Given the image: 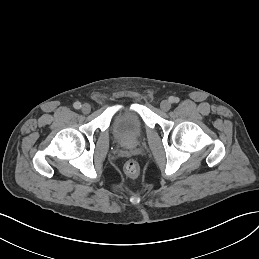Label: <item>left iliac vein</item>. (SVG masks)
I'll use <instances>...</instances> for the list:
<instances>
[{
  "label": "left iliac vein",
  "mask_w": 259,
  "mask_h": 259,
  "mask_svg": "<svg viewBox=\"0 0 259 259\" xmlns=\"http://www.w3.org/2000/svg\"><path fill=\"white\" fill-rule=\"evenodd\" d=\"M160 108L163 111H168L171 108V103L169 100H163L160 104Z\"/></svg>",
  "instance_id": "left-iliac-vein-1"
}]
</instances>
